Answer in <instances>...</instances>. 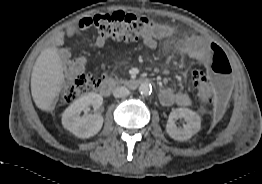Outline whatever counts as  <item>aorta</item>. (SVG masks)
<instances>
[{"label": "aorta", "mask_w": 262, "mask_h": 184, "mask_svg": "<svg viewBox=\"0 0 262 184\" xmlns=\"http://www.w3.org/2000/svg\"><path fill=\"white\" fill-rule=\"evenodd\" d=\"M139 92L142 95H149L152 92V86L149 83H142L139 86Z\"/></svg>", "instance_id": "aorta-1"}]
</instances>
